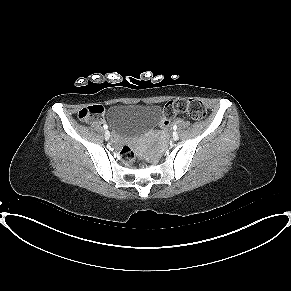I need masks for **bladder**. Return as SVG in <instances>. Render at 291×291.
Segmentation results:
<instances>
[{
	"instance_id": "bladder-1",
	"label": "bladder",
	"mask_w": 291,
	"mask_h": 291,
	"mask_svg": "<svg viewBox=\"0 0 291 291\" xmlns=\"http://www.w3.org/2000/svg\"><path fill=\"white\" fill-rule=\"evenodd\" d=\"M111 131L122 138L140 134L157 124L160 108L156 105L112 104L106 115Z\"/></svg>"
}]
</instances>
